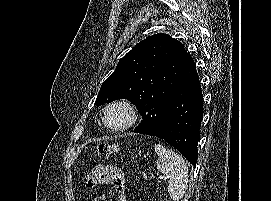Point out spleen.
Returning <instances> with one entry per match:
<instances>
[{"instance_id": "spleen-1", "label": "spleen", "mask_w": 271, "mask_h": 201, "mask_svg": "<svg viewBox=\"0 0 271 201\" xmlns=\"http://www.w3.org/2000/svg\"><path fill=\"white\" fill-rule=\"evenodd\" d=\"M154 149L159 156L157 169L169 180V197L173 201H179L183 198L188 186V167L186 162L179 153L161 144H155Z\"/></svg>"}]
</instances>
